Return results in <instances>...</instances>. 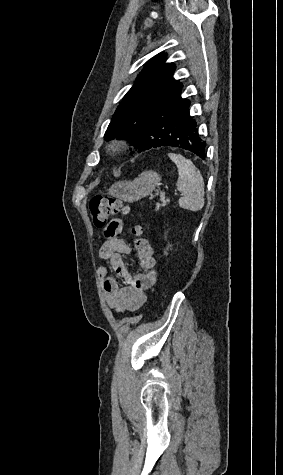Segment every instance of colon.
Listing matches in <instances>:
<instances>
[{"label": "colon", "mask_w": 283, "mask_h": 475, "mask_svg": "<svg viewBox=\"0 0 283 475\" xmlns=\"http://www.w3.org/2000/svg\"><path fill=\"white\" fill-rule=\"evenodd\" d=\"M129 212V207L122 200L111 196L97 195L89 203V214L97 228H103L112 215L116 213L128 214ZM121 229L133 237L142 268L140 276L150 274L154 268L155 260L150 241L143 236L142 227L139 224H134Z\"/></svg>", "instance_id": "obj_1"}]
</instances>
